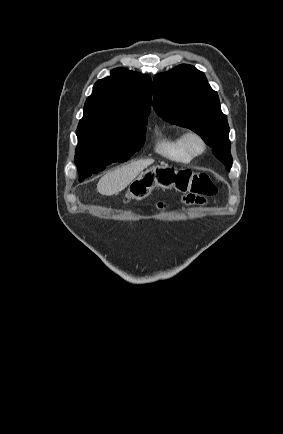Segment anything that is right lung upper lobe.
<instances>
[{
  "label": "right lung upper lobe",
  "mask_w": 283,
  "mask_h": 434,
  "mask_svg": "<svg viewBox=\"0 0 283 434\" xmlns=\"http://www.w3.org/2000/svg\"><path fill=\"white\" fill-rule=\"evenodd\" d=\"M152 80L148 75L116 68L98 80L85 102L78 126L129 125L147 121L152 103Z\"/></svg>",
  "instance_id": "obj_1"
}]
</instances>
